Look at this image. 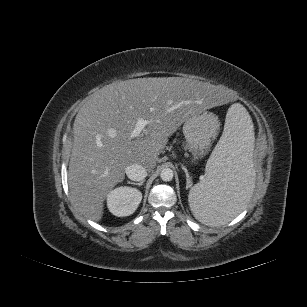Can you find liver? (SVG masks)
<instances>
[{
    "label": "liver",
    "mask_w": 307,
    "mask_h": 307,
    "mask_svg": "<svg viewBox=\"0 0 307 307\" xmlns=\"http://www.w3.org/2000/svg\"><path fill=\"white\" fill-rule=\"evenodd\" d=\"M230 98L226 89L180 77L130 79L95 91L73 125L68 184L77 209L101 221L104 201L124 180L127 166L153 169L168 138L189 115L225 106ZM138 118L149 124L131 138Z\"/></svg>",
    "instance_id": "liver-1"
}]
</instances>
